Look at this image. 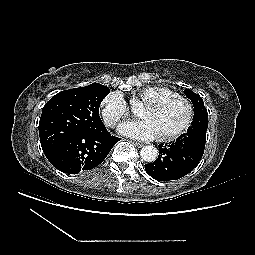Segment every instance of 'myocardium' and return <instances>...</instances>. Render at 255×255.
<instances>
[{"mask_svg":"<svg viewBox=\"0 0 255 255\" xmlns=\"http://www.w3.org/2000/svg\"><path fill=\"white\" fill-rule=\"evenodd\" d=\"M170 102H178L185 107L186 119H185L184 123L179 128H177L169 133L161 135L159 137V139L161 141H171V140H174V139L182 136L190 129V127L192 126L193 121H194V116H195L194 106L186 97L182 96L181 94L172 92L169 95L162 96L154 101L147 103V105L159 108V107H161L165 104H168Z\"/></svg>","mask_w":255,"mask_h":255,"instance_id":"obj_1","label":"myocardium"}]
</instances>
